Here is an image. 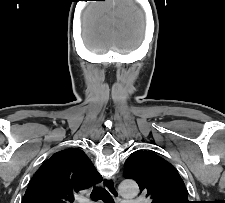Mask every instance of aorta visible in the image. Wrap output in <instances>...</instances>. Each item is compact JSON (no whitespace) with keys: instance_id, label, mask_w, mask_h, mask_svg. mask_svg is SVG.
<instances>
[{"instance_id":"aorta-1","label":"aorta","mask_w":225,"mask_h":203,"mask_svg":"<svg viewBox=\"0 0 225 203\" xmlns=\"http://www.w3.org/2000/svg\"><path fill=\"white\" fill-rule=\"evenodd\" d=\"M119 192L125 197H134L138 194L139 188L135 181L124 180L119 184Z\"/></svg>"}]
</instances>
